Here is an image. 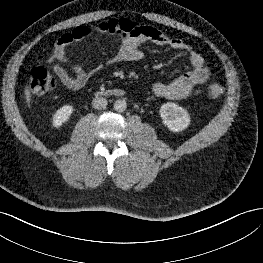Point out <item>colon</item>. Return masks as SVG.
I'll list each match as a JSON object with an SVG mask.
<instances>
[{
	"label": "colon",
	"mask_w": 263,
	"mask_h": 263,
	"mask_svg": "<svg viewBox=\"0 0 263 263\" xmlns=\"http://www.w3.org/2000/svg\"><path fill=\"white\" fill-rule=\"evenodd\" d=\"M56 86L55 78L43 67L32 68L29 75V90L34 95H43L50 92ZM224 88L218 83H212L208 88V94L216 99L222 96Z\"/></svg>",
	"instance_id": "5ec220e1"
}]
</instances>
